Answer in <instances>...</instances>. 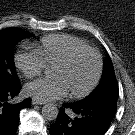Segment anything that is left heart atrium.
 <instances>
[{
  "label": "left heart atrium",
  "instance_id": "1",
  "mask_svg": "<svg viewBox=\"0 0 135 135\" xmlns=\"http://www.w3.org/2000/svg\"><path fill=\"white\" fill-rule=\"evenodd\" d=\"M26 91L42 102L63 98L68 93L65 83L56 77L32 82L26 86Z\"/></svg>",
  "mask_w": 135,
  "mask_h": 135
}]
</instances>
